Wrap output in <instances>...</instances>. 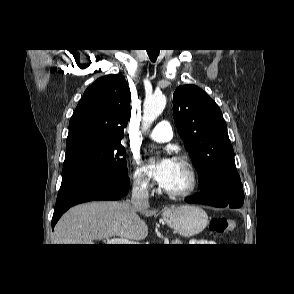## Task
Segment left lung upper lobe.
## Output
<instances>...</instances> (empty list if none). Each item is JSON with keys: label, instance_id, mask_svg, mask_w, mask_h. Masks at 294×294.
<instances>
[{"label": "left lung upper lobe", "instance_id": "5c2ea615", "mask_svg": "<svg viewBox=\"0 0 294 294\" xmlns=\"http://www.w3.org/2000/svg\"><path fill=\"white\" fill-rule=\"evenodd\" d=\"M174 122L198 172L201 192L241 184L220 108L195 85L179 86L173 94Z\"/></svg>", "mask_w": 294, "mask_h": 294}]
</instances>
